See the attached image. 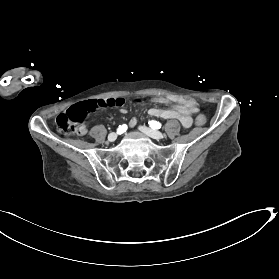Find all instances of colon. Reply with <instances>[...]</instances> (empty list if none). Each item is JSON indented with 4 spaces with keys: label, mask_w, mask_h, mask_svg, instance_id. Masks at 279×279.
I'll return each instance as SVG.
<instances>
[{
    "label": "colon",
    "mask_w": 279,
    "mask_h": 279,
    "mask_svg": "<svg viewBox=\"0 0 279 279\" xmlns=\"http://www.w3.org/2000/svg\"><path fill=\"white\" fill-rule=\"evenodd\" d=\"M177 99L192 113H196L199 110V103L195 99L188 96H180ZM124 104L125 99L122 97L80 102L58 115L56 125L62 133H80L83 122L90 112L100 107H117ZM195 121L198 126H203L206 123V117L203 114H199Z\"/></svg>",
    "instance_id": "1"
}]
</instances>
